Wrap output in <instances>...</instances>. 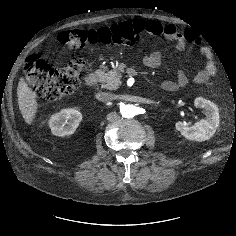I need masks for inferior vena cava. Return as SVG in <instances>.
I'll use <instances>...</instances> for the list:
<instances>
[{
	"label": "inferior vena cava",
	"instance_id": "1",
	"mask_svg": "<svg viewBox=\"0 0 236 236\" xmlns=\"http://www.w3.org/2000/svg\"><path fill=\"white\" fill-rule=\"evenodd\" d=\"M96 98L102 102L112 101L114 99L113 94L107 92H101L96 95Z\"/></svg>",
	"mask_w": 236,
	"mask_h": 236
}]
</instances>
